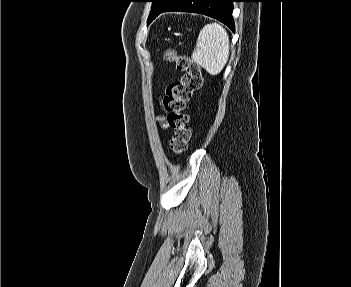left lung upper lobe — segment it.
Wrapping results in <instances>:
<instances>
[{
    "instance_id": "left-lung-upper-lobe-1",
    "label": "left lung upper lobe",
    "mask_w": 351,
    "mask_h": 287,
    "mask_svg": "<svg viewBox=\"0 0 351 287\" xmlns=\"http://www.w3.org/2000/svg\"><path fill=\"white\" fill-rule=\"evenodd\" d=\"M153 3L152 10L149 16V23L155 17V15L163 10L173 0H150Z\"/></svg>"
}]
</instances>
